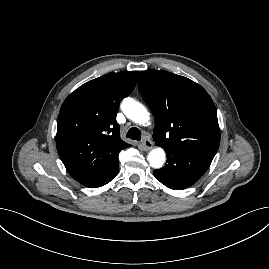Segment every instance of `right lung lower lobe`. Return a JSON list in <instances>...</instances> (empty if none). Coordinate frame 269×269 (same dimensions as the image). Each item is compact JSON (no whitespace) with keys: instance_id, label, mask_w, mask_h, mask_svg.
<instances>
[{"instance_id":"98d812e1","label":"right lung lower lobe","mask_w":269,"mask_h":269,"mask_svg":"<svg viewBox=\"0 0 269 269\" xmlns=\"http://www.w3.org/2000/svg\"><path fill=\"white\" fill-rule=\"evenodd\" d=\"M118 171H119V163H117L103 179H101L98 183H96L91 188L101 187L109 183L112 179L116 177V175L118 174Z\"/></svg>"}]
</instances>
